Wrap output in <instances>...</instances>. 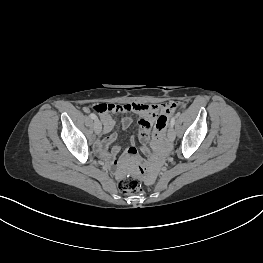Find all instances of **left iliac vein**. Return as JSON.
Segmentation results:
<instances>
[{"label": "left iliac vein", "mask_w": 263, "mask_h": 263, "mask_svg": "<svg viewBox=\"0 0 263 263\" xmlns=\"http://www.w3.org/2000/svg\"><path fill=\"white\" fill-rule=\"evenodd\" d=\"M175 136H176L175 130H174L173 127L170 126L169 129H168V139L170 141H174L175 140Z\"/></svg>", "instance_id": "1"}]
</instances>
